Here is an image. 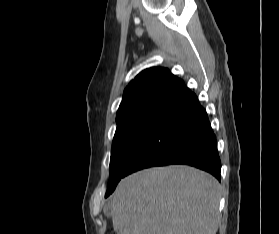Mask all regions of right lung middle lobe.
Returning a JSON list of instances; mask_svg holds the SVG:
<instances>
[{
    "instance_id": "obj_1",
    "label": "right lung middle lobe",
    "mask_w": 279,
    "mask_h": 234,
    "mask_svg": "<svg viewBox=\"0 0 279 234\" xmlns=\"http://www.w3.org/2000/svg\"><path fill=\"white\" fill-rule=\"evenodd\" d=\"M171 107H150L117 116L112 143L110 177L105 197L116 188L131 158Z\"/></svg>"
}]
</instances>
